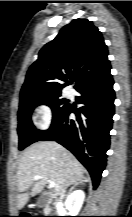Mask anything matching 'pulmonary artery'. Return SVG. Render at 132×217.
Listing matches in <instances>:
<instances>
[{"instance_id":"1","label":"pulmonary artery","mask_w":132,"mask_h":217,"mask_svg":"<svg viewBox=\"0 0 132 217\" xmlns=\"http://www.w3.org/2000/svg\"><path fill=\"white\" fill-rule=\"evenodd\" d=\"M68 95H69V96H72V92H71V91H69V92H68Z\"/></svg>"}]
</instances>
